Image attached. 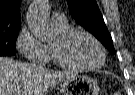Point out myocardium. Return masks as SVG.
Listing matches in <instances>:
<instances>
[{
    "mask_svg": "<svg viewBox=\"0 0 135 95\" xmlns=\"http://www.w3.org/2000/svg\"><path fill=\"white\" fill-rule=\"evenodd\" d=\"M78 35H83L88 37L90 40H92L96 46L98 47L101 55V60L98 64L93 65V66H84V65H79L72 63L66 59L63 58L61 55L60 51L58 48L52 46V55L54 57V60L57 62L58 65L64 68H69V69H75V70H81V71H94L100 69L106 61V51L102 43L90 32L85 31V30H69L59 37V42L61 44H66L69 41H71L74 37Z\"/></svg>",
    "mask_w": 135,
    "mask_h": 95,
    "instance_id": "f54148a6",
    "label": "myocardium"
}]
</instances>
